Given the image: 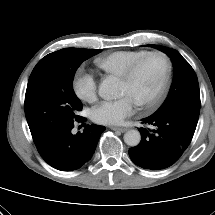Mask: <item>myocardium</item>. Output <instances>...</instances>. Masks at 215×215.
Here are the masks:
<instances>
[{
  "label": "myocardium",
  "mask_w": 215,
  "mask_h": 215,
  "mask_svg": "<svg viewBox=\"0 0 215 215\" xmlns=\"http://www.w3.org/2000/svg\"><path fill=\"white\" fill-rule=\"evenodd\" d=\"M152 56H158V57L162 58V60L164 61V64H165L164 75H163L160 86L158 87L157 91L153 94V96L144 102L137 103V105L142 108H153L154 106H156L158 104V102L162 98V96L168 86V83L170 80V75H171V70H172V63H171L169 56L162 51H157V50L148 51L145 54H143L142 56H140L139 58H137L134 62H132L128 66V68L124 71V73L120 76L121 81L127 82V81L131 80L133 78V76L135 75V73L137 72L140 65L144 62V60H146L147 58L152 57Z\"/></svg>",
  "instance_id": "f54148a6"
}]
</instances>
